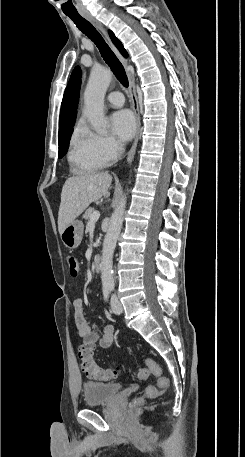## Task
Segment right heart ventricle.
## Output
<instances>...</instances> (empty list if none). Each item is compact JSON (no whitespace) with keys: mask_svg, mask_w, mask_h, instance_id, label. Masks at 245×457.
I'll list each match as a JSON object with an SVG mask.
<instances>
[{"mask_svg":"<svg viewBox=\"0 0 245 457\" xmlns=\"http://www.w3.org/2000/svg\"><path fill=\"white\" fill-rule=\"evenodd\" d=\"M71 154L82 167L88 170H97L105 165L86 144L85 129L80 125H77L72 133Z\"/></svg>","mask_w":245,"mask_h":457,"instance_id":"obj_1","label":"right heart ventricle"}]
</instances>
